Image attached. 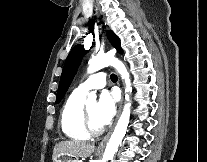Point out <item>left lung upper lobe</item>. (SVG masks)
I'll use <instances>...</instances> for the list:
<instances>
[{
	"label": "left lung upper lobe",
	"mask_w": 207,
	"mask_h": 162,
	"mask_svg": "<svg viewBox=\"0 0 207 162\" xmlns=\"http://www.w3.org/2000/svg\"><path fill=\"white\" fill-rule=\"evenodd\" d=\"M108 39L112 42L114 47L117 49L119 53H122V49L120 47L119 38L112 32L108 31ZM83 56V46L76 45L71 52L69 53L59 83V88L57 92L56 103H59L61 99L64 97L76 71L81 62Z\"/></svg>",
	"instance_id": "5c2ea615"
}]
</instances>
